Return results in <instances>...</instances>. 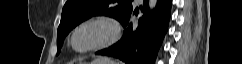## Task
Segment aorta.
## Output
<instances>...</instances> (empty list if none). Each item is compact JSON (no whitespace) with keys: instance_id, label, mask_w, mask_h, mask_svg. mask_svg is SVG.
<instances>
[{"instance_id":"762f6f07","label":"aorta","mask_w":242,"mask_h":64,"mask_svg":"<svg viewBox=\"0 0 242 64\" xmlns=\"http://www.w3.org/2000/svg\"><path fill=\"white\" fill-rule=\"evenodd\" d=\"M149 8L150 10H153L157 4V0H149Z\"/></svg>"}]
</instances>
